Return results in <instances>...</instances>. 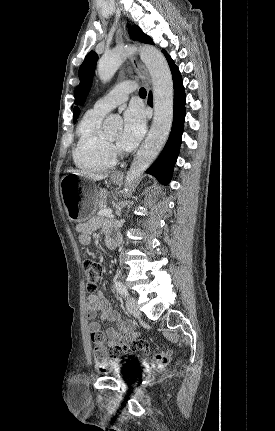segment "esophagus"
<instances>
[{
	"label": "esophagus",
	"mask_w": 275,
	"mask_h": 431,
	"mask_svg": "<svg viewBox=\"0 0 275 431\" xmlns=\"http://www.w3.org/2000/svg\"><path fill=\"white\" fill-rule=\"evenodd\" d=\"M124 36H125L126 41L129 42V38L126 34V31H125ZM130 61L132 63V66H133L135 72L137 73L138 77L143 81V83L145 84V87L147 89V92L149 93L152 90V84H151V79H150V76L148 74L147 69L145 68L144 64L137 58L136 55H131ZM115 175L120 176V175H122V173L116 172Z\"/></svg>",
	"instance_id": "34e87169"
}]
</instances>
